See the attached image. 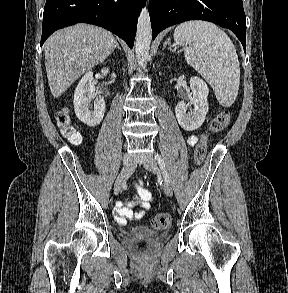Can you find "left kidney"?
Returning <instances> with one entry per match:
<instances>
[{
  "label": "left kidney",
  "instance_id": "1",
  "mask_svg": "<svg viewBox=\"0 0 288 293\" xmlns=\"http://www.w3.org/2000/svg\"><path fill=\"white\" fill-rule=\"evenodd\" d=\"M190 88L193 94L190 104L193 109L187 112L188 105L184 101H179L175 107L178 123L186 131L198 129L205 121L208 113L207 97L209 89L205 81L198 77H191Z\"/></svg>",
  "mask_w": 288,
  "mask_h": 293
}]
</instances>
